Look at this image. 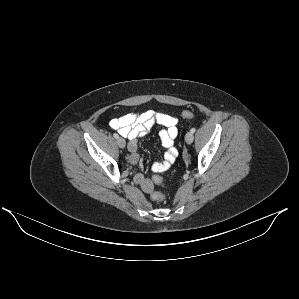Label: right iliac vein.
<instances>
[{
  "label": "right iliac vein",
  "instance_id": "right-iliac-vein-1",
  "mask_svg": "<svg viewBox=\"0 0 299 299\" xmlns=\"http://www.w3.org/2000/svg\"><path fill=\"white\" fill-rule=\"evenodd\" d=\"M117 143H118V146H119L120 148H124L125 145H126V142H125V140H124L122 137H118V138H117Z\"/></svg>",
  "mask_w": 299,
  "mask_h": 299
}]
</instances>
